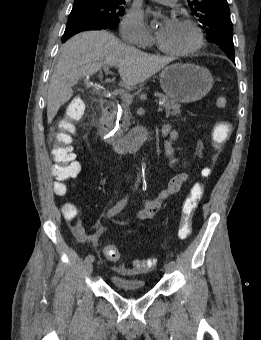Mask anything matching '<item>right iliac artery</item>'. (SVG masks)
I'll return each mask as SVG.
<instances>
[{
	"instance_id": "1",
	"label": "right iliac artery",
	"mask_w": 261,
	"mask_h": 340,
	"mask_svg": "<svg viewBox=\"0 0 261 340\" xmlns=\"http://www.w3.org/2000/svg\"><path fill=\"white\" fill-rule=\"evenodd\" d=\"M127 203V197L122 199L120 202H118L113 208H111L109 211H108V214L107 216L108 217H111V216H114L116 215L117 213H119L126 205ZM95 260V257L93 255H88L86 258H85V262L87 263H92L93 261Z\"/></svg>"
}]
</instances>
